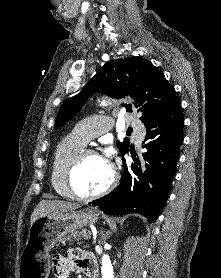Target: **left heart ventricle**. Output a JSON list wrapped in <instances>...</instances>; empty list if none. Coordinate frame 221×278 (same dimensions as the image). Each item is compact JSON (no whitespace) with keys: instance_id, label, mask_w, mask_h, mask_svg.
Instances as JSON below:
<instances>
[{"instance_id":"b2bd125f","label":"left heart ventricle","mask_w":221,"mask_h":278,"mask_svg":"<svg viewBox=\"0 0 221 278\" xmlns=\"http://www.w3.org/2000/svg\"><path fill=\"white\" fill-rule=\"evenodd\" d=\"M108 161L101 155H89L80 164L75 183L80 192L90 194L104 188L110 180Z\"/></svg>"}]
</instances>
